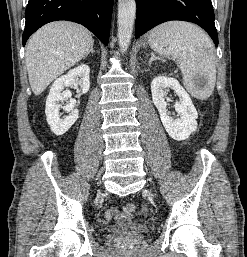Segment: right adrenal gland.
Segmentation results:
<instances>
[{
  "label": "right adrenal gland",
  "mask_w": 247,
  "mask_h": 257,
  "mask_svg": "<svg viewBox=\"0 0 247 257\" xmlns=\"http://www.w3.org/2000/svg\"><path fill=\"white\" fill-rule=\"evenodd\" d=\"M90 53L94 54L93 45L91 46L90 50H89V51L86 53V55L84 56V59H86L87 56H88Z\"/></svg>",
  "instance_id": "2a0ac1e0"
}]
</instances>
